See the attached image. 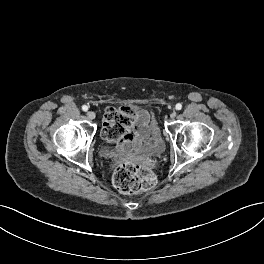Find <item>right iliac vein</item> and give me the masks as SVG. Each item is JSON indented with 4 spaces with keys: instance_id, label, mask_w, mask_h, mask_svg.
Wrapping results in <instances>:
<instances>
[{
    "instance_id": "63e3f726",
    "label": "right iliac vein",
    "mask_w": 264,
    "mask_h": 264,
    "mask_svg": "<svg viewBox=\"0 0 264 264\" xmlns=\"http://www.w3.org/2000/svg\"><path fill=\"white\" fill-rule=\"evenodd\" d=\"M87 117H88V119L93 120V119H95L96 114L93 111H88L87 112Z\"/></svg>"
}]
</instances>
